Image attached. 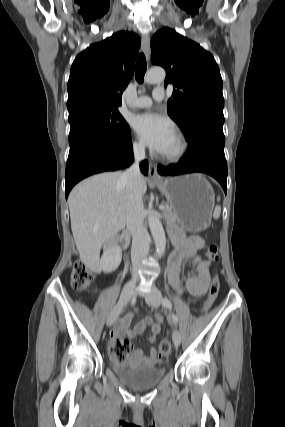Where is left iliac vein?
I'll return each instance as SVG.
<instances>
[{"label":"left iliac vein","mask_w":285,"mask_h":427,"mask_svg":"<svg viewBox=\"0 0 285 427\" xmlns=\"http://www.w3.org/2000/svg\"><path fill=\"white\" fill-rule=\"evenodd\" d=\"M146 302L148 305L153 307H159L162 302V295L160 291L156 288V286L151 287V291L146 295ZM173 343L176 347H178L181 343V334L178 330H174L173 332Z\"/></svg>","instance_id":"1"}]
</instances>
